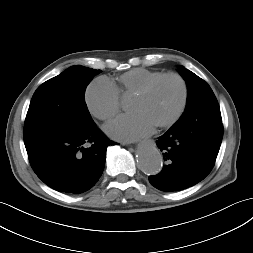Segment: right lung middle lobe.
Instances as JSON below:
<instances>
[{"label":"right lung middle lobe","instance_id":"1","mask_svg":"<svg viewBox=\"0 0 253 253\" xmlns=\"http://www.w3.org/2000/svg\"><path fill=\"white\" fill-rule=\"evenodd\" d=\"M98 73L100 71L75 65L38 87L24 124L26 148L50 134L94 123L84 101V93Z\"/></svg>","mask_w":253,"mask_h":253}]
</instances>
